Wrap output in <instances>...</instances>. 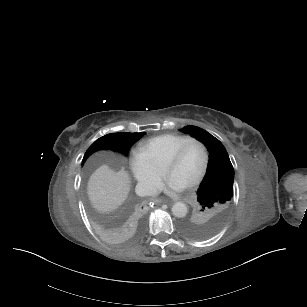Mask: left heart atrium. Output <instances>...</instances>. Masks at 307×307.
Listing matches in <instances>:
<instances>
[{"mask_svg":"<svg viewBox=\"0 0 307 307\" xmlns=\"http://www.w3.org/2000/svg\"><path fill=\"white\" fill-rule=\"evenodd\" d=\"M153 192L162 191L169 195L180 193L186 189V185L175 178L167 176L164 180L154 183L151 187Z\"/></svg>","mask_w":307,"mask_h":307,"instance_id":"39dd6f15","label":"left heart atrium"}]
</instances>
